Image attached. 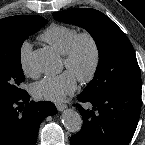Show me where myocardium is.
Here are the masks:
<instances>
[{"label": "myocardium", "instance_id": "obj_1", "mask_svg": "<svg viewBox=\"0 0 145 145\" xmlns=\"http://www.w3.org/2000/svg\"><path fill=\"white\" fill-rule=\"evenodd\" d=\"M83 43H87L90 47L92 60L88 71L78 77L82 83L91 81L97 74L101 62V50L98 41L90 32H79L72 41L68 51L64 54L63 62L65 67L70 68L76 61L79 50Z\"/></svg>", "mask_w": 145, "mask_h": 145}]
</instances>
